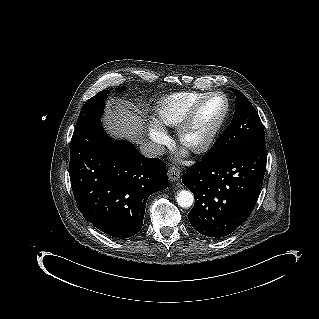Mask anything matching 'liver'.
Masks as SVG:
<instances>
[{
    "mask_svg": "<svg viewBox=\"0 0 319 319\" xmlns=\"http://www.w3.org/2000/svg\"><path fill=\"white\" fill-rule=\"evenodd\" d=\"M108 130L116 137H124L129 141L143 143L142 135L144 132L141 117L131 111L128 107L117 105L113 110H108L103 118Z\"/></svg>",
    "mask_w": 319,
    "mask_h": 319,
    "instance_id": "obj_1",
    "label": "liver"
}]
</instances>
